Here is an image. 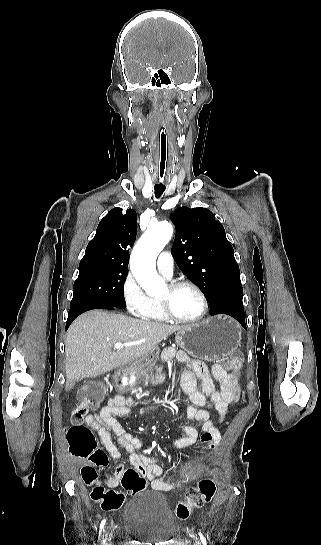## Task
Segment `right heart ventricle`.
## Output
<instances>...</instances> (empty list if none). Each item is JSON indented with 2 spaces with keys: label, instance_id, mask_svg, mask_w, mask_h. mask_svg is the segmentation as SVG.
Returning <instances> with one entry per match:
<instances>
[{
  "label": "right heart ventricle",
  "instance_id": "1",
  "mask_svg": "<svg viewBox=\"0 0 321 545\" xmlns=\"http://www.w3.org/2000/svg\"><path fill=\"white\" fill-rule=\"evenodd\" d=\"M147 322L152 323H159V322H166L168 319L166 316L162 313L159 305L155 302L152 303V307L148 313V315L144 318Z\"/></svg>",
  "mask_w": 321,
  "mask_h": 545
}]
</instances>
